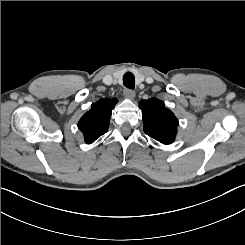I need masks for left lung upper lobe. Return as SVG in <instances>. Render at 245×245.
Masks as SVG:
<instances>
[{"mask_svg": "<svg viewBox=\"0 0 245 245\" xmlns=\"http://www.w3.org/2000/svg\"><path fill=\"white\" fill-rule=\"evenodd\" d=\"M139 107L143 114L144 132L163 144H171L175 140L178 120L165 108L164 102L151 98L142 100Z\"/></svg>", "mask_w": 245, "mask_h": 245, "instance_id": "5c2ea615", "label": "left lung upper lobe"}]
</instances>
